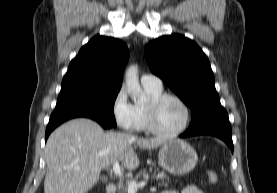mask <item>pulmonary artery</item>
Listing matches in <instances>:
<instances>
[{"mask_svg":"<svg viewBox=\"0 0 277 193\" xmlns=\"http://www.w3.org/2000/svg\"><path fill=\"white\" fill-rule=\"evenodd\" d=\"M141 84L144 88H150L154 90H161L163 85L159 77L152 74H145L141 77Z\"/></svg>","mask_w":277,"mask_h":193,"instance_id":"1","label":"pulmonary artery"}]
</instances>
